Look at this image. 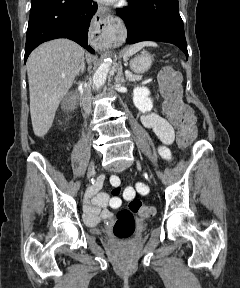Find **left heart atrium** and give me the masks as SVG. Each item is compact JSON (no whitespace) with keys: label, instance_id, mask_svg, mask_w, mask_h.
Masks as SVG:
<instances>
[{"label":"left heart atrium","instance_id":"left-heart-atrium-1","mask_svg":"<svg viewBox=\"0 0 240 288\" xmlns=\"http://www.w3.org/2000/svg\"><path fill=\"white\" fill-rule=\"evenodd\" d=\"M102 1H107V2H111V1H114V0H102Z\"/></svg>","mask_w":240,"mask_h":288}]
</instances>
